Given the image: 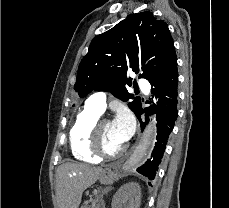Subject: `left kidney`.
Here are the masks:
<instances>
[{"instance_id":"left-kidney-1","label":"left kidney","mask_w":229,"mask_h":208,"mask_svg":"<svg viewBox=\"0 0 229 208\" xmlns=\"http://www.w3.org/2000/svg\"><path fill=\"white\" fill-rule=\"evenodd\" d=\"M141 188L136 182L124 184L116 192L112 200V208H139Z\"/></svg>"}]
</instances>
